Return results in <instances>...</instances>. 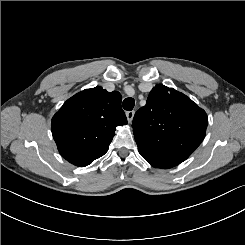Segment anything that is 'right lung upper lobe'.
Segmentation results:
<instances>
[{
	"mask_svg": "<svg viewBox=\"0 0 245 245\" xmlns=\"http://www.w3.org/2000/svg\"><path fill=\"white\" fill-rule=\"evenodd\" d=\"M119 92L102 87L83 90L68 99L52 118V135L60 154L85 167L103 156L117 126L127 124Z\"/></svg>",
	"mask_w": 245,
	"mask_h": 245,
	"instance_id": "1",
	"label": "right lung upper lobe"
}]
</instances>
